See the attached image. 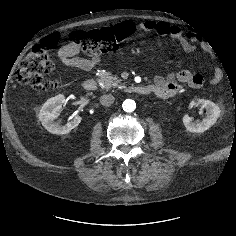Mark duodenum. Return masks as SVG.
<instances>
[{
  "mask_svg": "<svg viewBox=\"0 0 236 236\" xmlns=\"http://www.w3.org/2000/svg\"><path fill=\"white\" fill-rule=\"evenodd\" d=\"M83 88L86 91L93 92L98 89V83L95 79L88 78L83 82ZM127 91L132 94L146 95L152 92V88L143 85H130L128 86Z\"/></svg>",
  "mask_w": 236,
  "mask_h": 236,
  "instance_id": "410a0bca",
  "label": "duodenum"
}]
</instances>
